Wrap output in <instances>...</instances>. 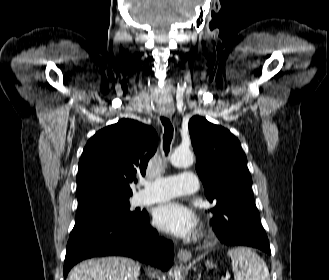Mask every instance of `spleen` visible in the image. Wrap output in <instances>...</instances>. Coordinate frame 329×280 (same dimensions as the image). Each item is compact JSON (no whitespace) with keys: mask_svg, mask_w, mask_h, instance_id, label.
I'll return each instance as SVG.
<instances>
[{"mask_svg":"<svg viewBox=\"0 0 329 280\" xmlns=\"http://www.w3.org/2000/svg\"><path fill=\"white\" fill-rule=\"evenodd\" d=\"M227 255L232 261L235 280H270L265 262L250 248H233Z\"/></svg>","mask_w":329,"mask_h":280,"instance_id":"3e777b00","label":"spleen"}]
</instances>
